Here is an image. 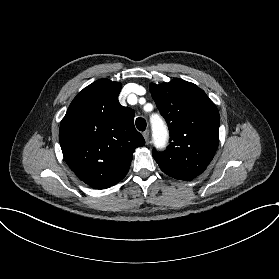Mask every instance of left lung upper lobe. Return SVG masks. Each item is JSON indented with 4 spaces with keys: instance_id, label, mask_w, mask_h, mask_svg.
<instances>
[{
    "instance_id": "1",
    "label": "left lung upper lobe",
    "mask_w": 279,
    "mask_h": 279,
    "mask_svg": "<svg viewBox=\"0 0 279 279\" xmlns=\"http://www.w3.org/2000/svg\"><path fill=\"white\" fill-rule=\"evenodd\" d=\"M150 92L170 130L167 150H153V157L167 175L192 180L206 169L217 150L218 109L203 90L179 78L151 83Z\"/></svg>"
}]
</instances>
